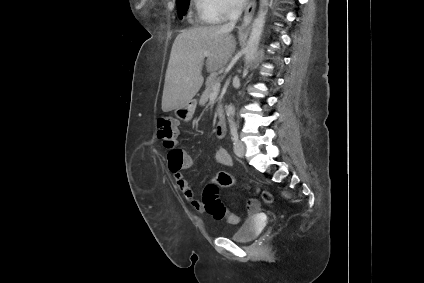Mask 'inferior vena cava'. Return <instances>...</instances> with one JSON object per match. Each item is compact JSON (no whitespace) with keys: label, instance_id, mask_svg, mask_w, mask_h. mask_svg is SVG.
I'll use <instances>...</instances> for the list:
<instances>
[{"label":"inferior vena cava","instance_id":"602c4592","mask_svg":"<svg viewBox=\"0 0 424 283\" xmlns=\"http://www.w3.org/2000/svg\"><path fill=\"white\" fill-rule=\"evenodd\" d=\"M242 11H243L242 3L240 2L233 3V5H231L230 7L229 14H228L230 19V23L228 25H235L236 21L242 14Z\"/></svg>","mask_w":424,"mask_h":283}]
</instances>
